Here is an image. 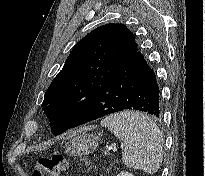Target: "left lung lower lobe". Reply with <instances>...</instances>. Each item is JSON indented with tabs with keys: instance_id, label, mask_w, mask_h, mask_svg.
I'll return each mask as SVG.
<instances>
[{
	"instance_id": "obj_1",
	"label": "left lung lower lobe",
	"mask_w": 205,
	"mask_h": 176,
	"mask_svg": "<svg viewBox=\"0 0 205 176\" xmlns=\"http://www.w3.org/2000/svg\"><path fill=\"white\" fill-rule=\"evenodd\" d=\"M125 109L160 116L156 76L139 51L100 87L71 128Z\"/></svg>"
}]
</instances>
